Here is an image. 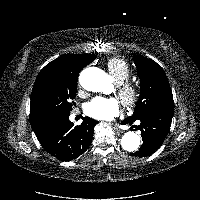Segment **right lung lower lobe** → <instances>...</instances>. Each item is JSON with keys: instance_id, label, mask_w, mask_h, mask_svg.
<instances>
[{"instance_id": "right-lung-lower-lobe-1", "label": "right lung lower lobe", "mask_w": 200, "mask_h": 200, "mask_svg": "<svg viewBox=\"0 0 200 200\" xmlns=\"http://www.w3.org/2000/svg\"><path fill=\"white\" fill-rule=\"evenodd\" d=\"M69 112L30 115V124L40 144L52 156L70 161L84 153L93 138L96 121L85 117L81 125L69 121Z\"/></svg>"}]
</instances>
